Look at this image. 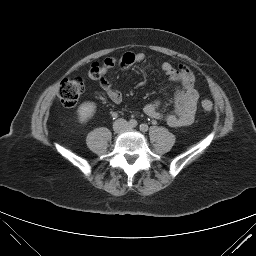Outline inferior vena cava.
<instances>
[{
  "label": "inferior vena cava",
  "mask_w": 256,
  "mask_h": 256,
  "mask_svg": "<svg viewBox=\"0 0 256 256\" xmlns=\"http://www.w3.org/2000/svg\"><path fill=\"white\" fill-rule=\"evenodd\" d=\"M113 127L115 130L117 131H123L127 128V121L125 119H117L114 124Z\"/></svg>",
  "instance_id": "obj_1"
}]
</instances>
